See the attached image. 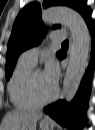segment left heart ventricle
Instances as JSON below:
<instances>
[{
	"label": "left heart ventricle",
	"instance_id": "left-heart-ventricle-1",
	"mask_svg": "<svg viewBox=\"0 0 95 130\" xmlns=\"http://www.w3.org/2000/svg\"><path fill=\"white\" fill-rule=\"evenodd\" d=\"M34 82H35L36 92L41 99H46L53 95L55 87L47 82L43 72L36 71Z\"/></svg>",
	"mask_w": 95,
	"mask_h": 130
}]
</instances>
